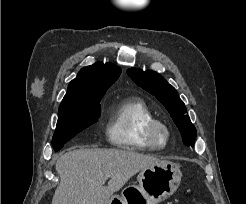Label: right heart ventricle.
<instances>
[{
	"mask_svg": "<svg viewBox=\"0 0 246 204\" xmlns=\"http://www.w3.org/2000/svg\"><path fill=\"white\" fill-rule=\"evenodd\" d=\"M155 119L148 104L141 98H126L109 111L106 125L108 142L119 149L140 151L153 149L144 138L146 126Z\"/></svg>",
	"mask_w": 246,
	"mask_h": 204,
	"instance_id": "e07e8e85",
	"label": "right heart ventricle"
}]
</instances>
